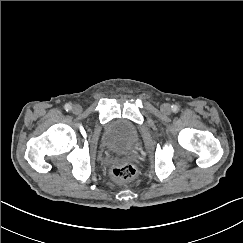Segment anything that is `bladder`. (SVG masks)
<instances>
[{
  "label": "bladder",
  "mask_w": 243,
  "mask_h": 243,
  "mask_svg": "<svg viewBox=\"0 0 243 243\" xmlns=\"http://www.w3.org/2000/svg\"><path fill=\"white\" fill-rule=\"evenodd\" d=\"M139 140L138 128L129 120L116 118L111 120L102 136L106 147L122 151L134 146Z\"/></svg>",
  "instance_id": "31cf9c89"
}]
</instances>
